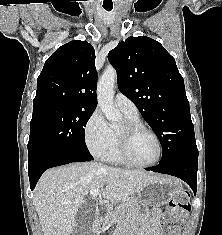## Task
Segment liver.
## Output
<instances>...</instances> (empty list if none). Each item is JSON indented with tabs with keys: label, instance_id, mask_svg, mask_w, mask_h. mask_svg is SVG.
Wrapping results in <instances>:
<instances>
[{
	"label": "liver",
	"instance_id": "obj_1",
	"mask_svg": "<svg viewBox=\"0 0 222 235\" xmlns=\"http://www.w3.org/2000/svg\"><path fill=\"white\" fill-rule=\"evenodd\" d=\"M158 176L124 170L98 162L74 163L44 172L34 190L33 203L44 235H71L84 196L95 188L112 202L127 201Z\"/></svg>",
	"mask_w": 222,
	"mask_h": 235
}]
</instances>
